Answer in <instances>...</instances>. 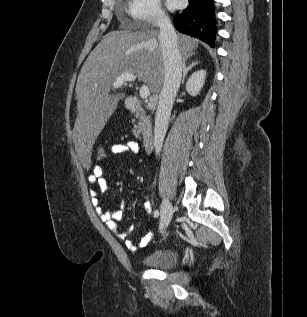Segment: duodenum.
Wrapping results in <instances>:
<instances>
[{
    "instance_id": "1",
    "label": "duodenum",
    "mask_w": 307,
    "mask_h": 317,
    "mask_svg": "<svg viewBox=\"0 0 307 317\" xmlns=\"http://www.w3.org/2000/svg\"><path fill=\"white\" fill-rule=\"evenodd\" d=\"M127 104L131 113L142 114L144 112V107L141 101L137 98H129ZM141 135L143 147L147 152H149L152 149L154 143V134L152 128L147 124L143 125L141 129Z\"/></svg>"
}]
</instances>
